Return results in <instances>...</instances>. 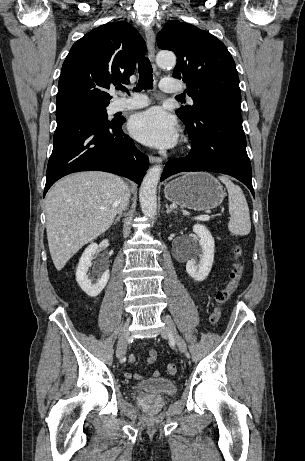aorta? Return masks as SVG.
<instances>
[{
  "mask_svg": "<svg viewBox=\"0 0 305 461\" xmlns=\"http://www.w3.org/2000/svg\"><path fill=\"white\" fill-rule=\"evenodd\" d=\"M159 67L172 68L176 65V57L171 52H160L156 57ZM162 168L153 166L146 173L139 191L140 205L143 214L148 218H154L157 212V185L161 176Z\"/></svg>",
  "mask_w": 305,
  "mask_h": 461,
  "instance_id": "1",
  "label": "aorta"
}]
</instances>
